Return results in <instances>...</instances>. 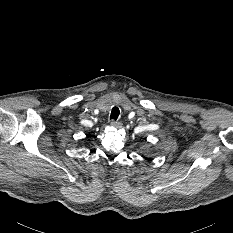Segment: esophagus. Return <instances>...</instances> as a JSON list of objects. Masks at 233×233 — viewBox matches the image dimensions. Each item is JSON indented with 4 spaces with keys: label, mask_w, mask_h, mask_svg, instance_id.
<instances>
[{
    "label": "esophagus",
    "mask_w": 233,
    "mask_h": 233,
    "mask_svg": "<svg viewBox=\"0 0 233 233\" xmlns=\"http://www.w3.org/2000/svg\"><path fill=\"white\" fill-rule=\"evenodd\" d=\"M111 125L116 127V128H121L122 127V122L112 120Z\"/></svg>",
    "instance_id": "34e87169"
}]
</instances>
